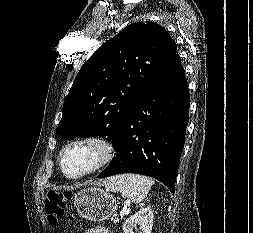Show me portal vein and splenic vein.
Instances as JSON below:
<instances>
[{
	"mask_svg": "<svg viewBox=\"0 0 253 233\" xmlns=\"http://www.w3.org/2000/svg\"><path fill=\"white\" fill-rule=\"evenodd\" d=\"M127 205L123 208V210L121 211V213H120V216L122 217V216H124L126 213H127ZM119 221V218L117 217V218H115V220H114V223H117Z\"/></svg>",
	"mask_w": 253,
	"mask_h": 233,
	"instance_id": "portal-vein-and-splenic-vein-1",
	"label": "portal vein and splenic vein"
}]
</instances>
